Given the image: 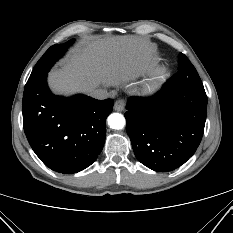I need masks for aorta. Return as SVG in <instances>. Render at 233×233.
<instances>
[{
	"label": "aorta",
	"instance_id": "obj_1",
	"mask_svg": "<svg viewBox=\"0 0 233 233\" xmlns=\"http://www.w3.org/2000/svg\"><path fill=\"white\" fill-rule=\"evenodd\" d=\"M108 125L110 128L119 130L122 129L125 125V118L122 114L113 113L108 117Z\"/></svg>",
	"mask_w": 233,
	"mask_h": 233
}]
</instances>
